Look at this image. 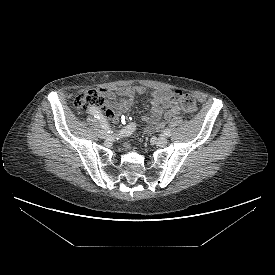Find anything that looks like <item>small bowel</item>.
<instances>
[{"mask_svg":"<svg viewBox=\"0 0 275 275\" xmlns=\"http://www.w3.org/2000/svg\"><path fill=\"white\" fill-rule=\"evenodd\" d=\"M103 95L107 98L105 114L113 123L121 120L123 113L128 111L139 94H147L150 97V110L143 116V121L149 124L148 130H155L162 125L163 120H170L178 116L181 108L174 99L169 89L147 90L140 85L119 87L116 90L104 89ZM121 97L119 101L117 97Z\"/></svg>","mask_w":275,"mask_h":275,"instance_id":"small-bowel-1","label":"small bowel"}]
</instances>
